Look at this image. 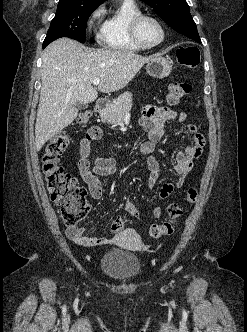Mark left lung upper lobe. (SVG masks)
Returning a JSON list of instances; mask_svg holds the SVG:
<instances>
[{
  "instance_id": "left-lung-upper-lobe-1",
  "label": "left lung upper lobe",
  "mask_w": 247,
  "mask_h": 332,
  "mask_svg": "<svg viewBox=\"0 0 247 332\" xmlns=\"http://www.w3.org/2000/svg\"><path fill=\"white\" fill-rule=\"evenodd\" d=\"M152 7L155 12L175 31L201 43L197 26L190 14L186 0H141Z\"/></svg>"
}]
</instances>
